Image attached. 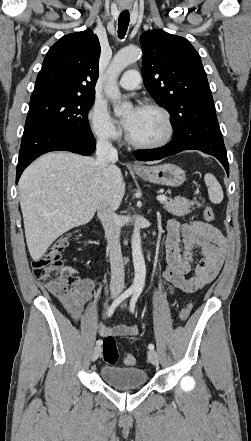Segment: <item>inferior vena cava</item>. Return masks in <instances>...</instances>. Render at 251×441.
Returning <instances> with one entry per match:
<instances>
[{"mask_svg":"<svg viewBox=\"0 0 251 441\" xmlns=\"http://www.w3.org/2000/svg\"><path fill=\"white\" fill-rule=\"evenodd\" d=\"M96 155L97 163L102 169H106L110 162L118 160L117 150L105 136H101L97 140ZM97 216L103 225L108 243L111 265L110 291L112 294H119L124 289L125 278L120 245L119 218L115 213V208L107 198H103L98 205Z\"/></svg>","mask_w":251,"mask_h":441,"instance_id":"1","label":"inferior vena cava"}]
</instances>
